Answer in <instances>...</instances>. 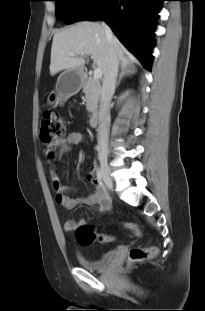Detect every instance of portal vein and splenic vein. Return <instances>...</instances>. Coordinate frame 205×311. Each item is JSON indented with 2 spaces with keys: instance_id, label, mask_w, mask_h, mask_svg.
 I'll return each instance as SVG.
<instances>
[{
  "instance_id": "1",
  "label": "portal vein and splenic vein",
  "mask_w": 205,
  "mask_h": 311,
  "mask_svg": "<svg viewBox=\"0 0 205 311\" xmlns=\"http://www.w3.org/2000/svg\"><path fill=\"white\" fill-rule=\"evenodd\" d=\"M75 55H76L75 53H70V56H75ZM79 55L83 56L85 54L80 53ZM102 74H103V72L99 67L95 68L94 73H93V78L98 81L102 77Z\"/></svg>"
}]
</instances>
